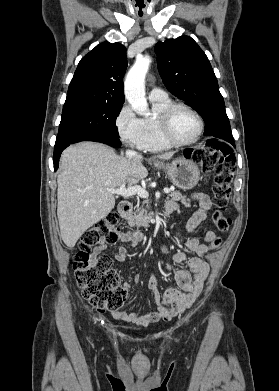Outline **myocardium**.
I'll list each match as a JSON object with an SVG mask.
<instances>
[{"label":"myocardium","mask_w":279,"mask_h":391,"mask_svg":"<svg viewBox=\"0 0 279 391\" xmlns=\"http://www.w3.org/2000/svg\"><path fill=\"white\" fill-rule=\"evenodd\" d=\"M184 108L188 111H190L197 119L199 123V129L196 134V136L189 140V141H178L172 133V118L177 109ZM158 122L160 125L161 133L163 138L167 143H169L172 146L175 147H184V146H189L194 143H196L202 136L204 132V120L201 116V114L193 108L191 105L182 103V102H174L171 103L168 107H166L159 115L158 117Z\"/></svg>","instance_id":"obj_1"}]
</instances>
